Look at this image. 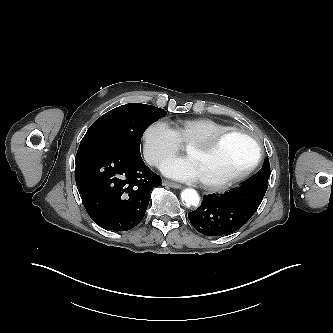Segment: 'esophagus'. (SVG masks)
I'll use <instances>...</instances> for the list:
<instances>
[{"mask_svg": "<svg viewBox=\"0 0 333 333\" xmlns=\"http://www.w3.org/2000/svg\"><path fill=\"white\" fill-rule=\"evenodd\" d=\"M163 185L165 186H169V187H172V188H176V189H181L182 186L180 184H177V183H174V182H171V181H163Z\"/></svg>", "mask_w": 333, "mask_h": 333, "instance_id": "esophagus-1", "label": "esophagus"}]
</instances>
